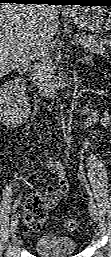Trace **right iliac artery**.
Returning a JSON list of instances; mask_svg holds the SVG:
<instances>
[{"label": "right iliac artery", "instance_id": "right-iliac-artery-1", "mask_svg": "<svg viewBox=\"0 0 111 257\" xmlns=\"http://www.w3.org/2000/svg\"><path fill=\"white\" fill-rule=\"evenodd\" d=\"M18 206H19V201H16V203L13 205V209H12V213H13V214H12L11 219H13V218H14L15 213H16V211H17Z\"/></svg>", "mask_w": 111, "mask_h": 257}]
</instances>
